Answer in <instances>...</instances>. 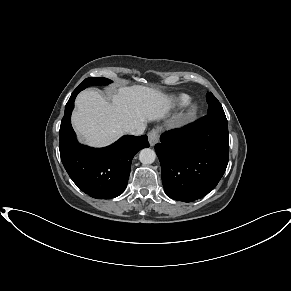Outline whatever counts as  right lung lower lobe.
<instances>
[{
  "instance_id": "98d812e1",
  "label": "right lung lower lobe",
  "mask_w": 291,
  "mask_h": 291,
  "mask_svg": "<svg viewBox=\"0 0 291 291\" xmlns=\"http://www.w3.org/2000/svg\"><path fill=\"white\" fill-rule=\"evenodd\" d=\"M80 91L77 87L65 106L59 131L61 160L70 178L84 193L97 199H111L125 190L131 161L139 150L149 147L148 138L125 135L104 148L79 144L71 126V113Z\"/></svg>"
}]
</instances>
